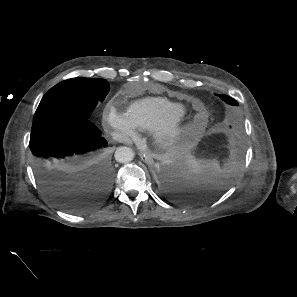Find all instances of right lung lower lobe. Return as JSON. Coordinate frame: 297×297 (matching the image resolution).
<instances>
[{
  "mask_svg": "<svg viewBox=\"0 0 297 297\" xmlns=\"http://www.w3.org/2000/svg\"><path fill=\"white\" fill-rule=\"evenodd\" d=\"M37 180L58 207L84 213L108 197L113 180L107 141L86 116L66 115L31 131Z\"/></svg>",
  "mask_w": 297,
  "mask_h": 297,
  "instance_id": "obj_1",
  "label": "right lung lower lobe"
}]
</instances>
